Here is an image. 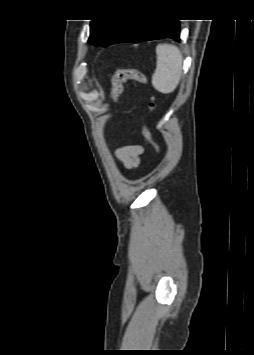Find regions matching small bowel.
I'll list each match as a JSON object with an SVG mask.
<instances>
[{"label":"small bowel","instance_id":"obj_1","mask_svg":"<svg viewBox=\"0 0 254 355\" xmlns=\"http://www.w3.org/2000/svg\"><path fill=\"white\" fill-rule=\"evenodd\" d=\"M143 153L144 148L141 145H124L116 150V157L125 168L132 169L140 164Z\"/></svg>","mask_w":254,"mask_h":355}]
</instances>
